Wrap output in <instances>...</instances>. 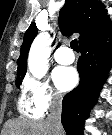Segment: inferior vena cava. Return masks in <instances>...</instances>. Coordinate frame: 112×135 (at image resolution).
Returning a JSON list of instances; mask_svg holds the SVG:
<instances>
[{
    "mask_svg": "<svg viewBox=\"0 0 112 135\" xmlns=\"http://www.w3.org/2000/svg\"><path fill=\"white\" fill-rule=\"evenodd\" d=\"M61 111H62V100L61 98H54L50 107V113L47 118V122L51 125L53 135H62L61 125Z\"/></svg>",
    "mask_w": 112,
    "mask_h": 135,
    "instance_id": "1",
    "label": "inferior vena cava"
}]
</instances>
